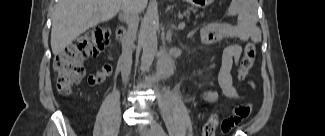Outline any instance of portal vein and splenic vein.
Segmentation results:
<instances>
[{
    "instance_id": "portal-vein-and-splenic-vein-1",
    "label": "portal vein and splenic vein",
    "mask_w": 325,
    "mask_h": 136,
    "mask_svg": "<svg viewBox=\"0 0 325 136\" xmlns=\"http://www.w3.org/2000/svg\"><path fill=\"white\" fill-rule=\"evenodd\" d=\"M179 27H180V28H184V27H185V23H180V24H179Z\"/></svg>"
}]
</instances>
